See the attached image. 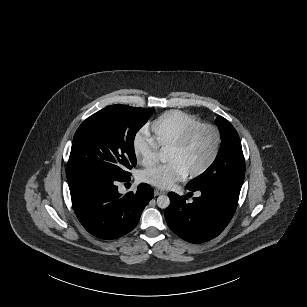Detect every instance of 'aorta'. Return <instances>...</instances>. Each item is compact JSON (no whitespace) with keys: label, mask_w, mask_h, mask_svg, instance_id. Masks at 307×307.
Segmentation results:
<instances>
[{"label":"aorta","mask_w":307,"mask_h":307,"mask_svg":"<svg viewBox=\"0 0 307 307\" xmlns=\"http://www.w3.org/2000/svg\"><path fill=\"white\" fill-rule=\"evenodd\" d=\"M170 204V199L167 195H160L158 198H157V205L158 207L162 208V209H165L169 206Z\"/></svg>","instance_id":"aorta-1"}]
</instances>
